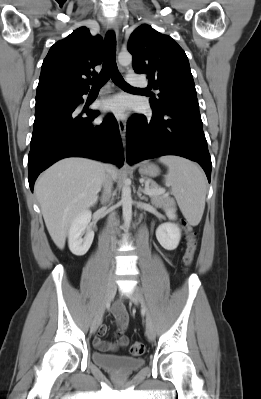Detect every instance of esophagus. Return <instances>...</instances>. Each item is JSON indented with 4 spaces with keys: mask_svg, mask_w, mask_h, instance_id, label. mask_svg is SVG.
<instances>
[{
    "mask_svg": "<svg viewBox=\"0 0 261 399\" xmlns=\"http://www.w3.org/2000/svg\"><path fill=\"white\" fill-rule=\"evenodd\" d=\"M109 29L112 30L116 36H118L119 30H118V25L116 21H111L108 25ZM118 126H119V131L122 139H125L126 135V121L124 118H117Z\"/></svg>",
    "mask_w": 261,
    "mask_h": 399,
    "instance_id": "34e87169",
    "label": "esophagus"
}]
</instances>
